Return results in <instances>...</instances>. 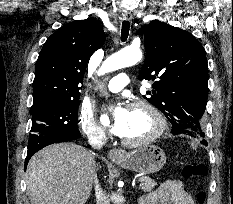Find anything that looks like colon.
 Segmentation results:
<instances>
[{
	"label": "colon",
	"instance_id": "5ec220e1",
	"mask_svg": "<svg viewBox=\"0 0 233 204\" xmlns=\"http://www.w3.org/2000/svg\"><path fill=\"white\" fill-rule=\"evenodd\" d=\"M208 172L207 166L205 163L198 161L186 164L182 168V176L184 179H191L199 176H206ZM206 201V192L205 190H200L196 194V202L198 204H204Z\"/></svg>",
	"mask_w": 233,
	"mask_h": 204
}]
</instances>
